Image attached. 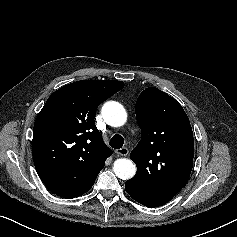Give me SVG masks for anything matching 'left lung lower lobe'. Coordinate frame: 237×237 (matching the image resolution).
<instances>
[{
  "label": "left lung lower lobe",
  "mask_w": 237,
  "mask_h": 237,
  "mask_svg": "<svg viewBox=\"0 0 237 237\" xmlns=\"http://www.w3.org/2000/svg\"><path fill=\"white\" fill-rule=\"evenodd\" d=\"M125 189H126L127 193H129V194L132 196L130 180H128V181L126 182V184H125Z\"/></svg>",
  "instance_id": "1"
}]
</instances>
